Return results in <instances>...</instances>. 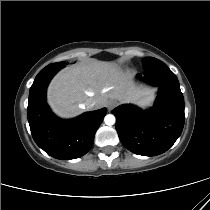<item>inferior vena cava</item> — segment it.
Masks as SVG:
<instances>
[{
	"mask_svg": "<svg viewBox=\"0 0 210 210\" xmlns=\"http://www.w3.org/2000/svg\"><path fill=\"white\" fill-rule=\"evenodd\" d=\"M95 104H96V101H95L93 98H89V99L85 102V106H86L88 109L94 108Z\"/></svg>",
	"mask_w": 210,
	"mask_h": 210,
	"instance_id": "inferior-vena-cava-1",
	"label": "inferior vena cava"
}]
</instances>
